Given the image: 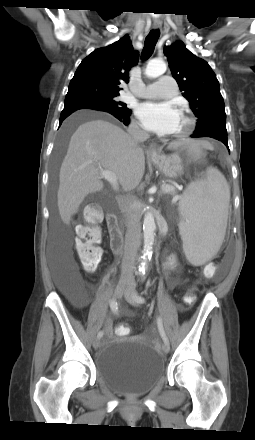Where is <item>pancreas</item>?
<instances>
[{
    "instance_id": "pancreas-1",
    "label": "pancreas",
    "mask_w": 255,
    "mask_h": 440,
    "mask_svg": "<svg viewBox=\"0 0 255 440\" xmlns=\"http://www.w3.org/2000/svg\"><path fill=\"white\" fill-rule=\"evenodd\" d=\"M164 187H165V186H164ZM164 187H163V189H164ZM169 194L172 195V196H175V195H176V192H174V191H170Z\"/></svg>"
}]
</instances>
